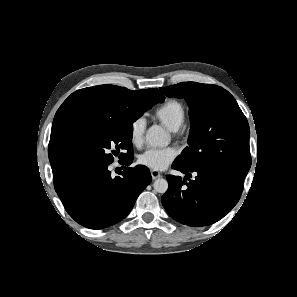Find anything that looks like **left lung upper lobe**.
I'll list each match as a JSON object with an SVG mask.
<instances>
[{"label": "left lung upper lobe", "instance_id": "left-lung-upper-lobe-1", "mask_svg": "<svg viewBox=\"0 0 297 297\" xmlns=\"http://www.w3.org/2000/svg\"><path fill=\"white\" fill-rule=\"evenodd\" d=\"M189 105L191 132L175 164L224 175L243 184L251 166L249 125L234 97L224 88L182 82L160 88Z\"/></svg>", "mask_w": 297, "mask_h": 297}]
</instances>
